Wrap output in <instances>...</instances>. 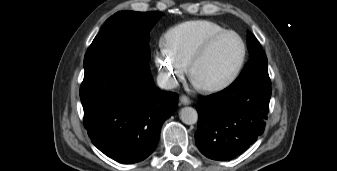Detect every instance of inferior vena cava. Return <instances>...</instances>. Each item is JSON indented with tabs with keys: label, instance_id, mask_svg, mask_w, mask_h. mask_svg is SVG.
Returning <instances> with one entry per match:
<instances>
[{
	"label": "inferior vena cava",
	"instance_id": "inferior-vena-cava-1",
	"mask_svg": "<svg viewBox=\"0 0 337 171\" xmlns=\"http://www.w3.org/2000/svg\"><path fill=\"white\" fill-rule=\"evenodd\" d=\"M158 86L162 89H173L178 86V82L176 79L170 77L165 73H160L157 77Z\"/></svg>",
	"mask_w": 337,
	"mask_h": 171
}]
</instances>
